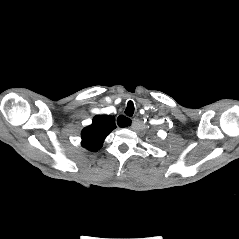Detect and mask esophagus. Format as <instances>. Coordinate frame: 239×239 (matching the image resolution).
<instances>
[{
	"mask_svg": "<svg viewBox=\"0 0 239 239\" xmlns=\"http://www.w3.org/2000/svg\"><path fill=\"white\" fill-rule=\"evenodd\" d=\"M117 124H118L119 127H128V128L131 127V128H134L135 121L125 117L124 115H120L117 118Z\"/></svg>",
	"mask_w": 239,
	"mask_h": 239,
	"instance_id": "obj_1",
	"label": "esophagus"
}]
</instances>
